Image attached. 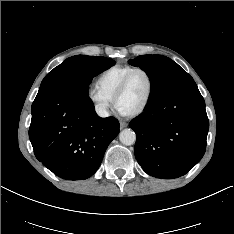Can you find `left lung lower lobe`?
I'll return each instance as SVG.
<instances>
[{"instance_id":"0a47b994","label":"left lung lower lobe","mask_w":234,"mask_h":234,"mask_svg":"<svg viewBox=\"0 0 234 234\" xmlns=\"http://www.w3.org/2000/svg\"><path fill=\"white\" fill-rule=\"evenodd\" d=\"M129 127L137 135L135 157L153 177L173 179L185 175L206 150L209 121L194 81L146 106Z\"/></svg>"}]
</instances>
